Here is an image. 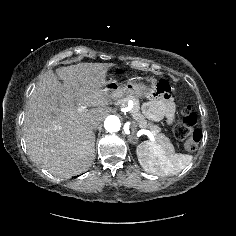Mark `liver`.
I'll list each match as a JSON object with an SVG mask.
<instances>
[{
    "label": "liver",
    "mask_w": 236,
    "mask_h": 236,
    "mask_svg": "<svg viewBox=\"0 0 236 236\" xmlns=\"http://www.w3.org/2000/svg\"><path fill=\"white\" fill-rule=\"evenodd\" d=\"M113 63H80L45 72L27 103L23 131L30 157L53 175L83 173L95 156L89 124L110 112L105 89ZM62 80L63 83L59 81ZM76 105L93 107L83 112Z\"/></svg>",
    "instance_id": "obj_1"
}]
</instances>
